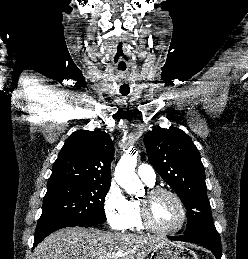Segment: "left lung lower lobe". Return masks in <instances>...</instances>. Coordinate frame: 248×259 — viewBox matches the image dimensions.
Wrapping results in <instances>:
<instances>
[{"label":"left lung lower lobe","mask_w":248,"mask_h":259,"mask_svg":"<svg viewBox=\"0 0 248 259\" xmlns=\"http://www.w3.org/2000/svg\"><path fill=\"white\" fill-rule=\"evenodd\" d=\"M175 241H185L200 244L208 248L215 255L216 259H221V239L216 228L205 229L196 233L184 234L180 236H169Z\"/></svg>","instance_id":"obj_1"}]
</instances>
